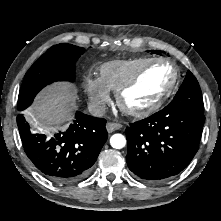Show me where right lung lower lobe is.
Returning a JSON list of instances; mask_svg holds the SVG:
<instances>
[{"instance_id":"1","label":"right lung lower lobe","mask_w":221,"mask_h":221,"mask_svg":"<svg viewBox=\"0 0 221 221\" xmlns=\"http://www.w3.org/2000/svg\"><path fill=\"white\" fill-rule=\"evenodd\" d=\"M17 125L27 157L44 177L59 184L85 177L108 138L105 119L79 111L65 132L48 137L33 133L23 114Z\"/></svg>"}]
</instances>
